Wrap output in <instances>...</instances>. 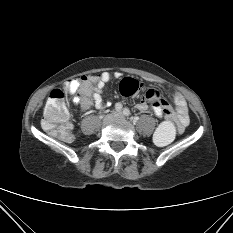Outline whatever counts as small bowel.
<instances>
[{
  "mask_svg": "<svg viewBox=\"0 0 233 233\" xmlns=\"http://www.w3.org/2000/svg\"><path fill=\"white\" fill-rule=\"evenodd\" d=\"M119 76L120 73L115 74V77ZM110 79L111 75L108 72L100 74L91 90L85 89L83 78L81 80L74 79L68 84L67 90L73 102L79 105L82 110H87L89 108L104 110L110 105V103L103 98L105 85ZM172 101L175 105V111L167 101L161 98L151 101L152 108L159 118L164 116L163 110L168 108L171 111V120L176 124L178 132H182L188 124L187 103L184 97L176 91L172 92ZM137 109L139 111H146L148 109L145 98L137 104Z\"/></svg>",
  "mask_w": 233,
  "mask_h": 233,
  "instance_id": "obj_1",
  "label": "small bowel"
}]
</instances>
